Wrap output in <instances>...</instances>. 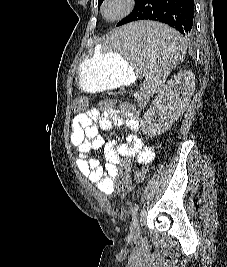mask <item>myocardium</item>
Segmentation results:
<instances>
[{
    "instance_id": "1",
    "label": "myocardium",
    "mask_w": 227,
    "mask_h": 267,
    "mask_svg": "<svg viewBox=\"0 0 227 267\" xmlns=\"http://www.w3.org/2000/svg\"><path fill=\"white\" fill-rule=\"evenodd\" d=\"M113 4H120V10L111 15L109 8ZM136 0H103L100 8L101 17L107 22H116L128 16L135 8Z\"/></svg>"
}]
</instances>
